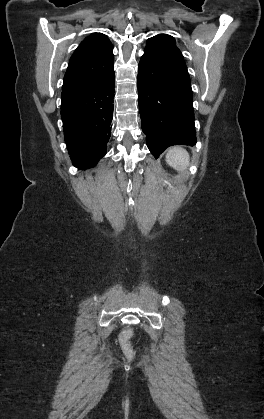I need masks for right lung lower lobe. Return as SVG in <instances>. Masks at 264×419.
Here are the masks:
<instances>
[{"label":"right lung lower lobe","instance_id":"1","mask_svg":"<svg viewBox=\"0 0 264 419\" xmlns=\"http://www.w3.org/2000/svg\"><path fill=\"white\" fill-rule=\"evenodd\" d=\"M114 72L96 84L62 89L61 117L73 165L91 168L106 154L113 117Z\"/></svg>","mask_w":264,"mask_h":419}]
</instances>
